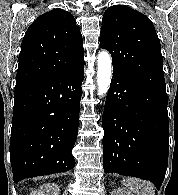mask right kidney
Listing matches in <instances>:
<instances>
[{
	"label": "right kidney",
	"mask_w": 178,
	"mask_h": 195,
	"mask_svg": "<svg viewBox=\"0 0 178 195\" xmlns=\"http://www.w3.org/2000/svg\"><path fill=\"white\" fill-rule=\"evenodd\" d=\"M30 195H60V189L56 184L48 183L33 190Z\"/></svg>",
	"instance_id": "obj_1"
}]
</instances>
